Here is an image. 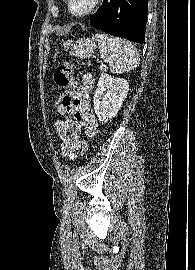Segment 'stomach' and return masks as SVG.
Here are the masks:
<instances>
[{
    "instance_id": "obj_1",
    "label": "stomach",
    "mask_w": 195,
    "mask_h": 270,
    "mask_svg": "<svg viewBox=\"0 0 195 270\" xmlns=\"http://www.w3.org/2000/svg\"><path fill=\"white\" fill-rule=\"evenodd\" d=\"M63 45L65 50H68L71 56L81 59L91 57L96 48L95 42L89 38H81L76 41L68 40Z\"/></svg>"
}]
</instances>
